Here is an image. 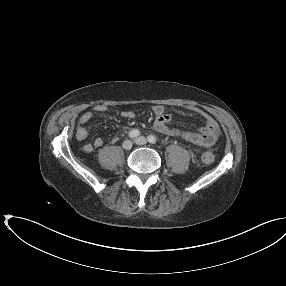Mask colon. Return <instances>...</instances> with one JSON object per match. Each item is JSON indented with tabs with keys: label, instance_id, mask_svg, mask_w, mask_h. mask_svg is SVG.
<instances>
[{
	"label": "colon",
	"instance_id": "obj_1",
	"mask_svg": "<svg viewBox=\"0 0 286 286\" xmlns=\"http://www.w3.org/2000/svg\"><path fill=\"white\" fill-rule=\"evenodd\" d=\"M201 159L204 164H211L214 161V155L211 152H204Z\"/></svg>",
	"mask_w": 286,
	"mask_h": 286
}]
</instances>
